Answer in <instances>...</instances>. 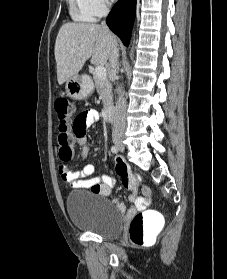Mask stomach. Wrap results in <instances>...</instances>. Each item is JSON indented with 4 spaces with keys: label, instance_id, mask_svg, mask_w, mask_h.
Listing matches in <instances>:
<instances>
[{
    "label": "stomach",
    "instance_id": "0dacf381",
    "mask_svg": "<svg viewBox=\"0 0 227 279\" xmlns=\"http://www.w3.org/2000/svg\"><path fill=\"white\" fill-rule=\"evenodd\" d=\"M65 90L71 99L81 100L92 93L93 85L90 81L81 80L78 75H74L66 81Z\"/></svg>",
    "mask_w": 227,
    "mask_h": 279
}]
</instances>
